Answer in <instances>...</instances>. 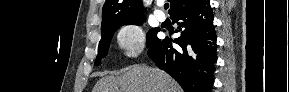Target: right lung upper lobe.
<instances>
[{
  "instance_id": "1",
  "label": "right lung upper lobe",
  "mask_w": 289,
  "mask_h": 92,
  "mask_svg": "<svg viewBox=\"0 0 289 92\" xmlns=\"http://www.w3.org/2000/svg\"><path fill=\"white\" fill-rule=\"evenodd\" d=\"M202 0H169L170 16L174 13L192 8ZM145 8L142 0H106L102 9L101 30L121 22L144 19Z\"/></svg>"
}]
</instances>
